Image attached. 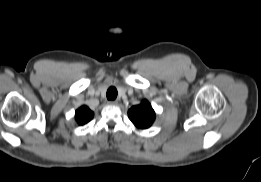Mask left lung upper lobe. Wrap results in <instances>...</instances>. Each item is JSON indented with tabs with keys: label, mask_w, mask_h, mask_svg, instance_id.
<instances>
[{
	"label": "left lung upper lobe",
	"mask_w": 261,
	"mask_h": 182,
	"mask_svg": "<svg viewBox=\"0 0 261 182\" xmlns=\"http://www.w3.org/2000/svg\"><path fill=\"white\" fill-rule=\"evenodd\" d=\"M128 116L133 124L140 129L150 127L155 120V112L147 100L133 106L128 111Z\"/></svg>",
	"instance_id": "obj_1"
}]
</instances>
